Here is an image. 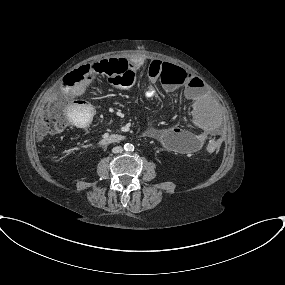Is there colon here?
Instances as JSON below:
<instances>
[{
    "label": "colon",
    "instance_id": "colon-1",
    "mask_svg": "<svg viewBox=\"0 0 285 285\" xmlns=\"http://www.w3.org/2000/svg\"><path fill=\"white\" fill-rule=\"evenodd\" d=\"M186 71L180 67L165 65L162 78L166 81H181ZM103 76L114 84L132 88L136 81V73L125 59L102 60L92 65H84L72 72L66 84H76L84 78ZM92 117L80 119L79 126L86 127L91 123ZM68 123V111L64 101L53 96L47 104L46 112L37 121L36 134L39 137L50 136L62 132ZM220 139L214 137L206 144L209 153H217L220 149Z\"/></svg>",
    "mask_w": 285,
    "mask_h": 285
}]
</instances>
